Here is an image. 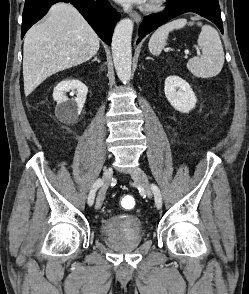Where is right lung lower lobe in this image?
<instances>
[{"instance_id": "obj_1", "label": "right lung lower lobe", "mask_w": 249, "mask_h": 294, "mask_svg": "<svg viewBox=\"0 0 249 294\" xmlns=\"http://www.w3.org/2000/svg\"><path fill=\"white\" fill-rule=\"evenodd\" d=\"M57 2L71 3L82 14L98 36L108 45L111 44L113 29L120 19L108 0H26L23 17L21 38L27 30L40 20L50 6Z\"/></svg>"}]
</instances>
